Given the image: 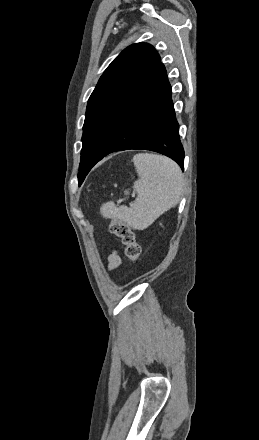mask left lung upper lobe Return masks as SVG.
Segmentation results:
<instances>
[{
	"label": "left lung upper lobe",
	"instance_id": "5c2ea615",
	"mask_svg": "<svg viewBox=\"0 0 259 440\" xmlns=\"http://www.w3.org/2000/svg\"><path fill=\"white\" fill-rule=\"evenodd\" d=\"M159 63L160 56L153 46L136 43L124 49L100 77L86 110L79 185L149 84Z\"/></svg>",
	"mask_w": 259,
	"mask_h": 440
}]
</instances>
